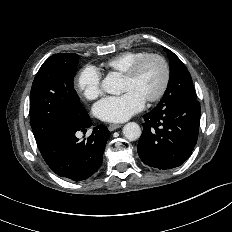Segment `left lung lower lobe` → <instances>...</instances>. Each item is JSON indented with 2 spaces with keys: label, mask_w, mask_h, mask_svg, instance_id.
Masks as SVG:
<instances>
[{
  "label": "left lung lower lobe",
  "mask_w": 232,
  "mask_h": 232,
  "mask_svg": "<svg viewBox=\"0 0 232 232\" xmlns=\"http://www.w3.org/2000/svg\"><path fill=\"white\" fill-rule=\"evenodd\" d=\"M200 112L197 100L180 98L145 114L137 146L141 160L160 170L182 165L196 145Z\"/></svg>",
  "instance_id": "0a47b994"
}]
</instances>
